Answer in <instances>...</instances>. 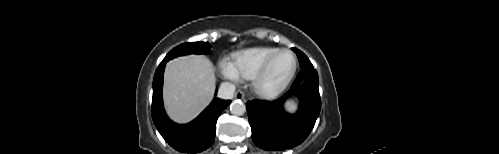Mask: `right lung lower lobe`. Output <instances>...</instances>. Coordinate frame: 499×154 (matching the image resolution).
<instances>
[{"instance_id": "98d812e1", "label": "right lung lower lobe", "mask_w": 499, "mask_h": 154, "mask_svg": "<svg viewBox=\"0 0 499 154\" xmlns=\"http://www.w3.org/2000/svg\"><path fill=\"white\" fill-rule=\"evenodd\" d=\"M166 62L160 63L153 80L152 119L162 137L174 149L191 154L201 152L213 144L217 119L231 101L214 98L192 122L185 125L172 122L165 113L162 100Z\"/></svg>"}]
</instances>
